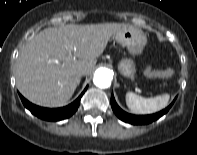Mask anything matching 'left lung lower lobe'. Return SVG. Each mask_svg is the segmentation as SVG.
Wrapping results in <instances>:
<instances>
[{"label": "left lung lower lobe", "mask_w": 197, "mask_h": 155, "mask_svg": "<svg viewBox=\"0 0 197 155\" xmlns=\"http://www.w3.org/2000/svg\"><path fill=\"white\" fill-rule=\"evenodd\" d=\"M174 101L164 110L155 113V114H151V115H132L129 113H126L125 111H123L116 103L113 94L111 95V107L114 111V113L116 114V116L127 123L133 124V125H142V124H149L157 119H159L161 116H163L164 114H166L168 112V110L171 108V106L173 105Z\"/></svg>", "instance_id": "obj_1"}]
</instances>
